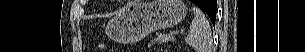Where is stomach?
Returning <instances> with one entry per match:
<instances>
[{"mask_svg": "<svg viewBox=\"0 0 305 52\" xmlns=\"http://www.w3.org/2000/svg\"><path fill=\"white\" fill-rule=\"evenodd\" d=\"M186 14L181 0L135 1L109 20L106 33L119 43H132L152 31L180 23Z\"/></svg>", "mask_w": 305, "mask_h": 52, "instance_id": "stomach-1", "label": "stomach"}]
</instances>
